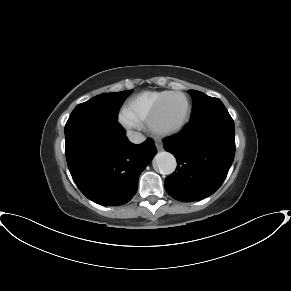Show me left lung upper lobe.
Listing matches in <instances>:
<instances>
[{"label": "left lung upper lobe", "instance_id": "obj_1", "mask_svg": "<svg viewBox=\"0 0 291 291\" xmlns=\"http://www.w3.org/2000/svg\"><path fill=\"white\" fill-rule=\"evenodd\" d=\"M188 92L193 99L191 120L197 119L217 108L224 107V104L218 98L210 97L196 90H189Z\"/></svg>", "mask_w": 291, "mask_h": 291}]
</instances>
